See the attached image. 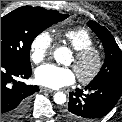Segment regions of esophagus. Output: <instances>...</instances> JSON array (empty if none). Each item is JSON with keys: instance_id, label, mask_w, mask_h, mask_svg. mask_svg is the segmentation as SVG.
Here are the masks:
<instances>
[{"instance_id": "1", "label": "esophagus", "mask_w": 122, "mask_h": 122, "mask_svg": "<svg viewBox=\"0 0 122 122\" xmlns=\"http://www.w3.org/2000/svg\"><path fill=\"white\" fill-rule=\"evenodd\" d=\"M41 91L43 92H49V93H54L55 91L49 88L41 87Z\"/></svg>"}]
</instances>
